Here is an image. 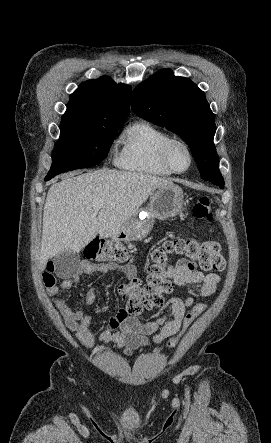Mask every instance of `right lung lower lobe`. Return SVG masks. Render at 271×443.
I'll list each match as a JSON object with an SVG mask.
<instances>
[{"label": "right lung lower lobe", "mask_w": 271, "mask_h": 443, "mask_svg": "<svg viewBox=\"0 0 271 443\" xmlns=\"http://www.w3.org/2000/svg\"><path fill=\"white\" fill-rule=\"evenodd\" d=\"M53 177H54V176L47 175L46 178H45V180H49V179H51V178H53Z\"/></svg>", "instance_id": "98d812e1"}]
</instances>
